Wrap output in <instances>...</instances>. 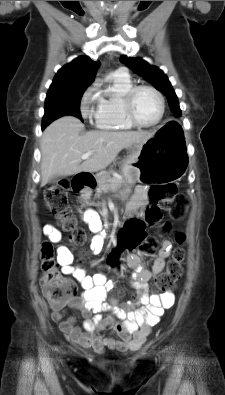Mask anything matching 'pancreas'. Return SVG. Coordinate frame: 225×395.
Wrapping results in <instances>:
<instances>
[{
    "label": "pancreas",
    "mask_w": 225,
    "mask_h": 395,
    "mask_svg": "<svg viewBox=\"0 0 225 395\" xmlns=\"http://www.w3.org/2000/svg\"><path fill=\"white\" fill-rule=\"evenodd\" d=\"M98 187L96 189V197H100L103 192L117 191L121 187H125L124 191H128V185L123 177H111L110 173H103L97 178Z\"/></svg>",
    "instance_id": "cf45deb5"
}]
</instances>
